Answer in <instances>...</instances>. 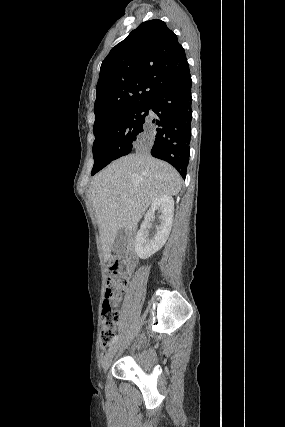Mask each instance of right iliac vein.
<instances>
[{"label":"right iliac vein","mask_w":285,"mask_h":427,"mask_svg":"<svg viewBox=\"0 0 285 427\" xmlns=\"http://www.w3.org/2000/svg\"><path fill=\"white\" fill-rule=\"evenodd\" d=\"M119 346H120V342L118 341V342L112 344L110 346V348L108 349V351L106 352V354L104 356V360H103V365H102L104 371H107L108 368L110 367L112 359H113V356L115 355V353L118 350Z\"/></svg>","instance_id":"right-iliac-vein-1"}]
</instances>
